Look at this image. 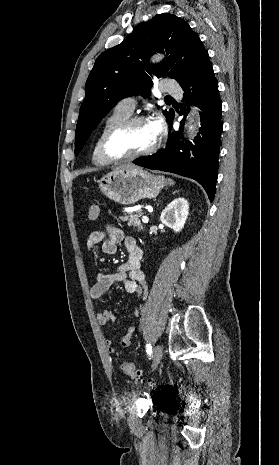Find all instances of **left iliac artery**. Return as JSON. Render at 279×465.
Wrapping results in <instances>:
<instances>
[{"label":"left iliac artery","mask_w":279,"mask_h":465,"mask_svg":"<svg viewBox=\"0 0 279 465\" xmlns=\"http://www.w3.org/2000/svg\"><path fill=\"white\" fill-rule=\"evenodd\" d=\"M146 349H147V353L149 354V356H152V353H153L152 346L150 344H147Z\"/></svg>","instance_id":"obj_1"}]
</instances>
